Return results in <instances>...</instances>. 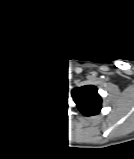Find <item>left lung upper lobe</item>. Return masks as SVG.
Masks as SVG:
<instances>
[{
	"mask_svg": "<svg viewBox=\"0 0 134 159\" xmlns=\"http://www.w3.org/2000/svg\"><path fill=\"white\" fill-rule=\"evenodd\" d=\"M72 95L82 114L89 116L100 112L102 100L95 86L76 87L72 90Z\"/></svg>",
	"mask_w": 134,
	"mask_h": 159,
	"instance_id": "1",
	"label": "left lung upper lobe"
}]
</instances>
